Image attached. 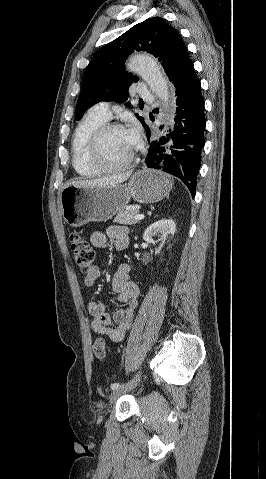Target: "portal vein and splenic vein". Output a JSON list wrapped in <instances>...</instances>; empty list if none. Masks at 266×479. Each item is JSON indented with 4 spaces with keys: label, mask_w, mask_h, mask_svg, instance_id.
Masks as SVG:
<instances>
[{
    "label": "portal vein and splenic vein",
    "mask_w": 266,
    "mask_h": 479,
    "mask_svg": "<svg viewBox=\"0 0 266 479\" xmlns=\"http://www.w3.org/2000/svg\"><path fill=\"white\" fill-rule=\"evenodd\" d=\"M133 218L135 220H141V219H144V215L143 214H136Z\"/></svg>",
    "instance_id": "obj_1"
}]
</instances>
